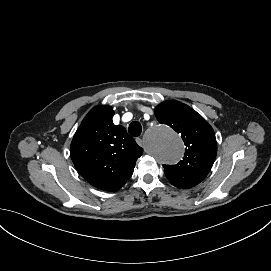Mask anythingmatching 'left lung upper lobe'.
Returning a JSON list of instances; mask_svg holds the SVG:
<instances>
[{"mask_svg": "<svg viewBox=\"0 0 271 271\" xmlns=\"http://www.w3.org/2000/svg\"><path fill=\"white\" fill-rule=\"evenodd\" d=\"M161 124L170 126L186 146L183 159L176 165H163L169 182L189 189L205 179L217 154L215 133L209 123L191 107L179 101H164L155 108Z\"/></svg>", "mask_w": 271, "mask_h": 271, "instance_id": "1", "label": "left lung upper lobe"}]
</instances>
